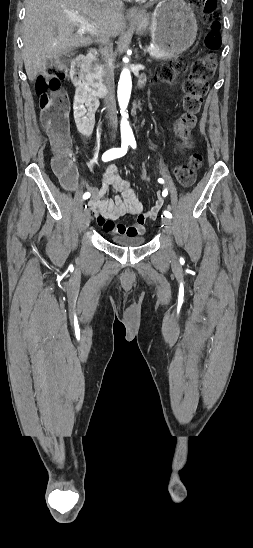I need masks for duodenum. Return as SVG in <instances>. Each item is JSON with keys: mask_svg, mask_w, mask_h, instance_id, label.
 Segmentation results:
<instances>
[{"mask_svg": "<svg viewBox=\"0 0 253 548\" xmlns=\"http://www.w3.org/2000/svg\"><path fill=\"white\" fill-rule=\"evenodd\" d=\"M96 50H90L86 54L77 56L70 68V78L77 89L86 92L92 97H104L107 89L94 82L89 72V66L97 56Z\"/></svg>", "mask_w": 253, "mask_h": 548, "instance_id": "1", "label": "duodenum"}]
</instances>
